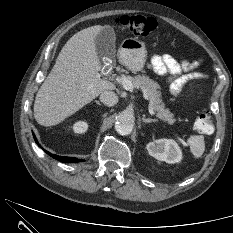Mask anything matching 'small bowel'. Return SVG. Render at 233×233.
<instances>
[{
    "mask_svg": "<svg viewBox=\"0 0 233 233\" xmlns=\"http://www.w3.org/2000/svg\"><path fill=\"white\" fill-rule=\"evenodd\" d=\"M201 62V59L178 62L168 54L163 56L156 55L152 59L153 67L159 74L171 73L176 76L185 72L183 75L174 78L170 83V91L174 95H178L189 82L201 80L206 77L205 74L196 71Z\"/></svg>",
    "mask_w": 233,
    "mask_h": 233,
    "instance_id": "1",
    "label": "small bowel"
}]
</instances>
